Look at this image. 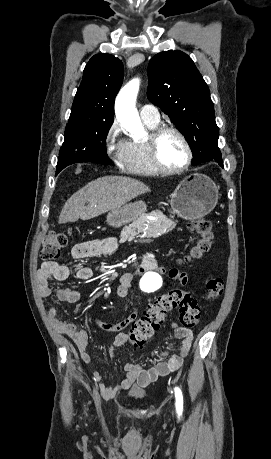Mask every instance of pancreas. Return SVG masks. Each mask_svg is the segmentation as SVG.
<instances>
[{
    "instance_id": "1",
    "label": "pancreas",
    "mask_w": 271,
    "mask_h": 459,
    "mask_svg": "<svg viewBox=\"0 0 271 459\" xmlns=\"http://www.w3.org/2000/svg\"><path fill=\"white\" fill-rule=\"evenodd\" d=\"M141 225H150L151 232L149 228H142L141 232L135 231L137 228V222H133L130 226H125V228L122 229L121 239H127L130 235H133L135 238H140L141 236L155 238L157 235H161V233H166V231H172L174 229L170 220H168L166 216H162V214H160L157 219H152L150 222L147 219H144L141 222Z\"/></svg>"
}]
</instances>
